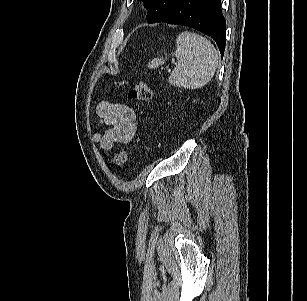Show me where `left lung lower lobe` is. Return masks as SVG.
Masks as SVG:
<instances>
[{"mask_svg": "<svg viewBox=\"0 0 307 301\" xmlns=\"http://www.w3.org/2000/svg\"><path fill=\"white\" fill-rule=\"evenodd\" d=\"M156 22L180 24L200 30L216 41L223 56L226 22L222 15L221 0H179Z\"/></svg>", "mask_w": 307, "mask_h": 301, "instance_id": "0a47b994", "label": "left lung lower lobe"}]
</instances>
